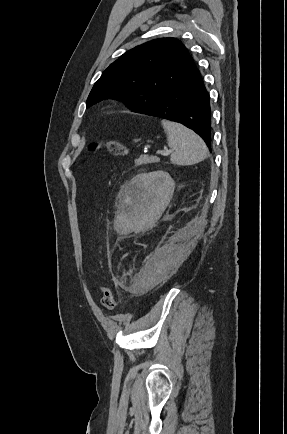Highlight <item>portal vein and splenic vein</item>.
<instances>
[{"label":"portal vein and splenic vein","mask_w":287,"mask_h":434,"mask_svg":"<svg viewBox=\"0 0 287 434\" xmlns=\"http://www.w3.org/2000/svg\"><path fill=\"white\" fill-rule=\"evenodd\" d=\"M171 152H172L171 150H161V151H158L157 153H159V154L162 155V156H167V155H169Z\"/></svg>","instance_id":"18ae733b"}]
</instances>
